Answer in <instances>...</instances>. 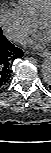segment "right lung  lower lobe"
<instances>
[{"instance_id":"right-lung-lower-lobe-1","label":"right lung lower lobe","mask_w":51,"mask_h":153,"mask_svg":"<svg viewBox=\"0 0 51 153\" xmlns=\"http://www.w3.org/2000/svg\"><path fill=\"white\" fill-rule=\"evenodd\" d=\"M22 56L23 51L11 44L0 30V87L8 82L13 61Z\"/></svg>"}]
</instances>
